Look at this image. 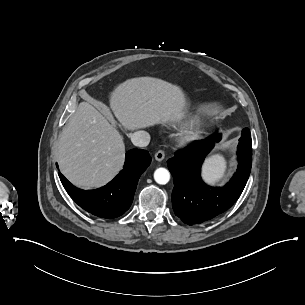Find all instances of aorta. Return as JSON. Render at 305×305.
Masks as SVG:
<instances>
[{"instance_id": "762f6f07", "label": "aorta", "mask_w": 305, "mask_h": 305, "mask_svg": "<svg viewBox=\"0 0 305 305\" xmlns=\"http://www.w3.org/2000/svg\"><path fill=\"white\" fill-rule=\"evenodd\" d=\"M154 179L158 184H166L170 180V173L165 168H158L154 172Z\"/></svg>"}]
</instances>
